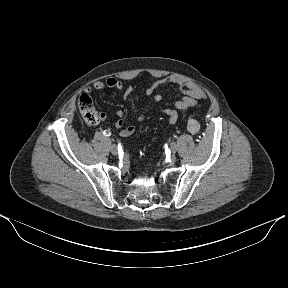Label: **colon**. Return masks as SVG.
<instances>
[{
  "label": "colon",
  "mask_w": 288,
  "mask_h": 288,
  "mask_svg": "<svg viewBox=\"0 0 288 288\" xmlns=\"http://www.w3.org/2000/svg\"><path fill=\"white\" fill-rule=\"evenodd\" d=\"M79 111L84 120L89 124H97L102 120V115L97 112L93 106L92 100L88 94H82L78 101ZM187 129L192 134L200 132V124L193 114L188 118Z\"/></svg>",
  "instance_id": "colon-1"
}]
</instances>
